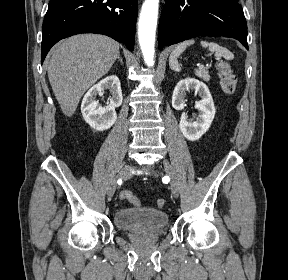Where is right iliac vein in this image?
I'll return each mask as SVG.
<instances>
[{"label": "right iliac vein", "mask_w": 288, "mask_h": 280, "mask_svg": "<svg viewBox=\"0 0 288 280\" xmlns=\"http://www.w3.org/2000/svg\"><path fill=\"white\" fill-rule=\"evenodd\" d=\"M127 169H128V166H124L123 168H121L120 171L118 172L117 176L112 180V182L110 183V185L108 186V189H107V196L108 197H112L114 195L116 187H117V181H118V179L126 177Z\"/></svg>", "instance_id": "right-iliac-vein-1"}]
</instances>
